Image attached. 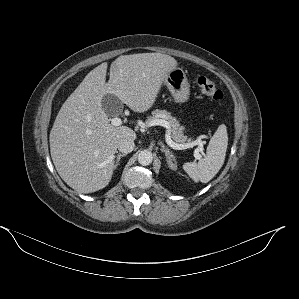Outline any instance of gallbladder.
Returning <instances> with one entry per match:
<instances>
[{
  "label": "gallbladder",
  "mask_w": 299,
  "mask_h": 299,
  "mask_svg": "<svg viewBox=\"0 0 299 299\" xmlns=\"http://www.w3.org/2000/svg\"><path fill=\"white\" fill-rule=\"evenodd\" d=\"M102 108L109 116H117L123 112L122 102L113 94H106L102 99Z\"/></svg>",
  "instance_id": "bac80fb5"
}]
</instances>
